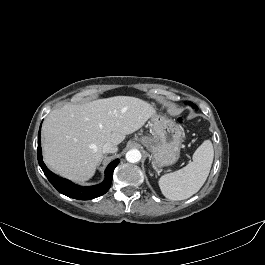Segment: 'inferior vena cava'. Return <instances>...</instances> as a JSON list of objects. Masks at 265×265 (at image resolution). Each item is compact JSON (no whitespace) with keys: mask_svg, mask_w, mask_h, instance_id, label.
I'll return each instance as SVG.
<instances>
[{"mask_svg":"<svg viewBox=\"0 0 265 265\" xmlns=\"http://www.w3.org/2000/svg\"><path fill=\"white\" fill-rule=\"evenodd\" d=\"M117 151V146L114 145L113 143L111 142H107L103 145L102 147V152L103 153H114Z\"/></svg>","mask_w":265,"mask_h":265,"instance_id":"obj_1","label":"inferior vena cava"}]
</instances>
